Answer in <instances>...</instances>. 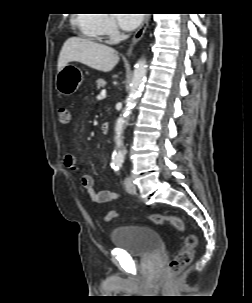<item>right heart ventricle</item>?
I'll return each mask as SVG.
<instances>
[{
    "label": "right heart ventricle",
    "mask_w": 252,
    "mask_h": 303,
    "mask_svg": "<svg viewBox=\"0 0 252 303\" xmlns=\"http://www.w3.org/2000/svg\"><path fill=\"white\" fill-rule=\"evenodd\" d=\"M101 15L97 14H79L75 22L91 37L101 39L103 33L98 27V21Z\"/></svg>",
    "instance_id": "1"
}]
</instances>
